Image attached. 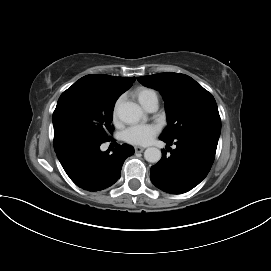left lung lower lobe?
<instances>
[{
  "label": "left lung lower lobe",
  "mask_w": 271,
  "mask_h": 271,
  "mask_svg": "<svg viewBox=\"0 0 271 271\" xmlns=\"http://www.w3.org/2000/svg\"><path fill=\"white\" fill-rule=\"evenodd\" d=\"M160 139L168 146L174 142L177 147L170 151V157L162 151L161 160L151 167L152 183L171 194H182L197 186L211 169L219 137L191 134L174 140Z\"/></svg>",
  "instance_id": "0a47b994"
}]
</instances>
